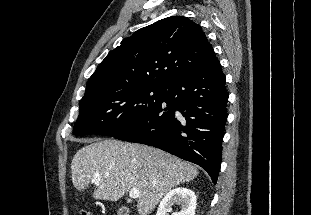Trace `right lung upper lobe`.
Returning a JSON list of instances; mask_svg holds the SVG:
<instances>
[{"mask_svg":"<svg viewBox=\"0 0 311 215\" xmlns=\"http://www.w3.org/2000/svg\"><path fill=\"white\" fill-rule=\"evenodd\" d=\"M216 60L198 24L184 16L167 17L137 30L109 52L89 78L83 98L132 87H163Z\"/></svg>","mask_w":311,"mask_h":215,"instance_id":"obj_1","label":"right lung upper lobe"}]
</instances>
